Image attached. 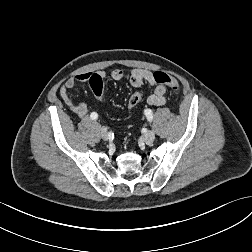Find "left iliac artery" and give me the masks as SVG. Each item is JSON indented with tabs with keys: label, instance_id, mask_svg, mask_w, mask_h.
Returning <instances> with one entry per match:
<instances>
[{
	"label": "left iliac artery",
	"instance_id": "left-iliac-artery-1",
	"mask_svg": "<svg viewBox=\"0 0 252 252\" xmlns=\"http://www.w3.org/2000/svg\"><path fill=\"white\" fill-rule=\"evenodd\" d=\"M144 112H145V115L147 117V120L151 122L153 120V113H152V111L149 110V109H144Z\"/></svg>",
	"mask_w": 252,
	"mask_h": 252
}]
</instances>
